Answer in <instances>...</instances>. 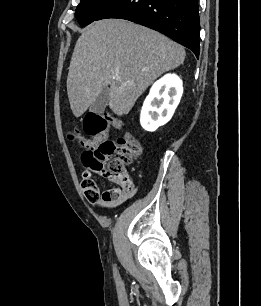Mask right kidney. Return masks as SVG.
<instances>
[{
	"label": "right kidney",
	"instance_id": "1",
	"mask_svg": "<svg viewBox=\"0 0 261 306\" xmlns=\"http://www.w3.org/2000/svg\"><path fill=\"white\" fill-rule=\"evenodd\" d=\"M182 94L183 83L176 74H166L156 81L143 103L141 126L152 132L166 124L172 118Z\"/></svg>",
	"mask_w": 261,
	"mask_h": 306
}]
</instances>
